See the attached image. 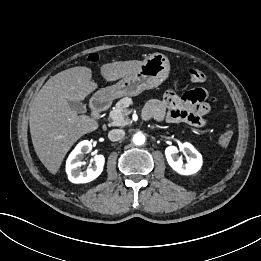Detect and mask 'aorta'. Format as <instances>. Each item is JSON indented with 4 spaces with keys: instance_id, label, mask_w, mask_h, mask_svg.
<instances>
[{
    "instance_id": "1",
    "label": "aorta",
    "mask_w": 261,
    "mask_h": 261,
    "mask_svg": "<svg viewBox=\"0 0 261 261\" xmlns=\"http://www.w3.org/2000/svg\"><path fill=\"white\" fill-rule=\"evenodd\" d=\"M145 136H144V134H142V133H140V132H138V133H136L134 136H133V142H134V144H136V145H142V144H144L145 143Z\"/></svg>"
}]
</instances>
